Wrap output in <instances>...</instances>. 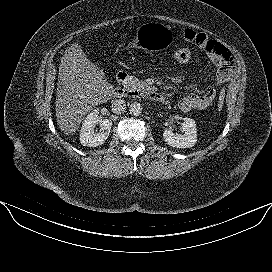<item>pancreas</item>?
Listing matches in <instances>:
<instances>
[{
	"mask_svg": "<svg viewBox=\"0 0 272 272\" xmlns=\"http://www.w3.org/2000/svg\"><path fill=\"white\" fill-rule=\"evenodd\" d=\"M144 83L140 82L137 78H131V83L127 85L128 89L136 90L138 87L142 86ZM129 86H131L129 88Z\"/></svg>",
	"mask_w": 272,
	"mask_h": 272,
	"instance_id": "1",
	"label": "pancreas"
}]
</instances>
